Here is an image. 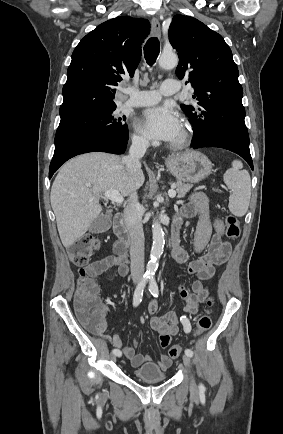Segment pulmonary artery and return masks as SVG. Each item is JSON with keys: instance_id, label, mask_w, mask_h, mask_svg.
Wrapping results in <instances>:
<instances>
[{"instance_id": "1", "label": "pulmonary artery", "mask_w": 283, "mask_h": 434, "mask_svg": "<svg viewBox=\"0 0 283 434\" xmlns=\"http://www.w3.org/2000/svg\"><path fill=\"white\" fill-rule=\"evenodd\" d=\"M180 90V85L176 80L168 79L162 82L159 90L139 91L127 88L129 95L126 105L130 107H143L157 103L162 96L176 94Z\"/></svg>"}]
</instances>
